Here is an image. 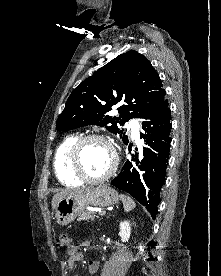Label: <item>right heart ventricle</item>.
<instances>
[{
    "mask_svg": "<svg viewBox=\"0 0 221 276\" xmlns=\"http://www.w3.org/2000/svg\"><path fill=\"white\" fill-rule=\"evenodd\" d=\"M78 138L76 134L66 136L58 145L54 156V169L58 179L66 185H78L79 180L71 171L68 163V153L73 142Z\"/></svg>",
    "mask_w": 221,
    "mask_h": 276,
    "instance_id": "obj_1",
    "label": "right heart ventricle"
}]
</instances>
